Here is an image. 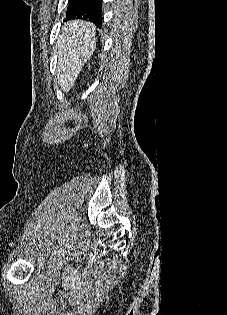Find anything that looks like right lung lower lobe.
<instances>
[{"label":"right lung lower lobe","instance_id":"obj_1","mask_svg":"<svg viewBox=\"0 0 227 315\" xmlns=\"http://www.w3.org/2000/svg\"><path fill=\"white\" fill-rule=\"evenodd\" d=\"M101 3L102 0H69L66 20L83 19L101 25Z\"/></svg>","mask_w":227,"mask_h":315}]
</instances>
